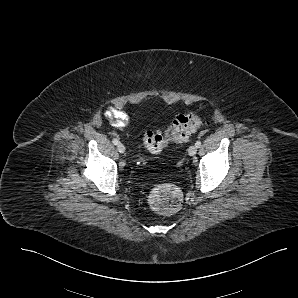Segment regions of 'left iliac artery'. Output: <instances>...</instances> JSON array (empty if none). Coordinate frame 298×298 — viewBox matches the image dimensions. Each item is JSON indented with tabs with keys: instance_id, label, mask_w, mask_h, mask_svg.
Instances as JSON below:
<instances>
[{
	"instance_id": "left-iliac-artery-1",
	"label": "left iliac artery",
	"mask_w": 298,
	"mask_h": 298,
	"mask_svg": "<svg viewBox=\"0 0 298 298\" xmlns=\"http://www.w3.org/2000/svg\"><path fill=\"white\" fill-rule=\"evenodd\" d=\"M195 145H196L197 148H199V147L201 146V141H197V142L195 143Z\"/></svg>"
}]
</instances>
